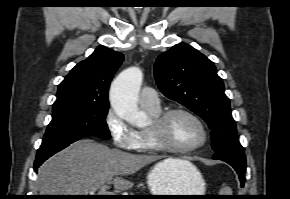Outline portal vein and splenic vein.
<instances>
[{
    "label": "portal vein and splenic vein",
    "instance_id": "portal-vein-and-splenic-vein-1",
    "mask_svg": "<svg viewBox=\"0 0 290 199\" xmlns=\"http://www.w3.org/2000/svg\"><path fill=\"white\" fill-rule=\"evenodd\" d=\"M108 186L105 184L103 185L99 191H98V195H113V193L109 192L108 190Z\"/></svg>",
    "mask_w": 290,
    "mask_h": 199
}]
</instances>
